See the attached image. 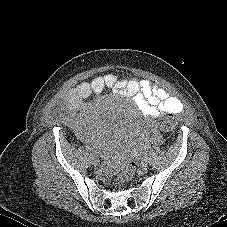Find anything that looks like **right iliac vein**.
<instances>
[{
    "label": "right iliac vein",
    "instance_id": "obj_1",
    "mask_svg": "<svg viewBox=\"0 0 227 227\" xmlns=\"http://www.w3.org/2000/svg\"><path fill=\"white\" fill-rule=\"evenodd\" d=\"M91 161H92V164H93V165H95V166L98 165V162H99V161H98V159H97L96 157L92 156V157H91Z\"/></svg>",
    "mask_w": 227,
    "mask_h": 227
}]
</instances>
